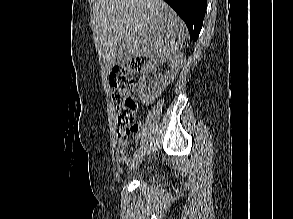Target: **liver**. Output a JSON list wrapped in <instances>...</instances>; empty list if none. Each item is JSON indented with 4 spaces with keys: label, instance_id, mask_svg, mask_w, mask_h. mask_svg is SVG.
Returning a JSON list of instances; mask_svg holds the SVG:
<instances>
[{
    "label": "liver",
    "instance_id": "1",
    "mask_svg": "<svg viewBox=\"0 0 293 219\" xmlns=\"http://www.w3.org/2000/svg\"><path fill=\"white\" fill-rule=\"evenodd\" d=\"M93 12L95 47L108 72L122 39L132 55L158 58L179 52L187 37L184 22L163 0H97Z\"/></svg>",
    "mask_w": 293,
    "mask_h": 219
}]
</instances>
